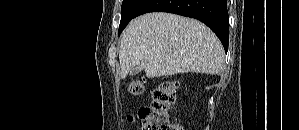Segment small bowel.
Instances as JSON below:
<instances>
[{"instance_id": "c3829d8e", "label": "small bowel", "mask_w": 299, "mask_h": 130, "mask_svg": "<svg viewBox=\"0 0 299 130\" xmlns=\"http://www.w3.org/2000/svg\"><path fill=\"white\" fill-rule=\"evenodd\" d=\"M126 120L129 122V123H135L137 121V117L135 114H128L126 116Z\"/></svg>"}]
</instances>
